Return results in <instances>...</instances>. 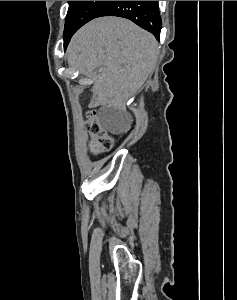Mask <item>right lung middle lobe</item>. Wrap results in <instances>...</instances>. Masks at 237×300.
Masks as SVG:
<instances>
[{
    "instance_id": "1",
    "label": "right lung middle lobe",
    "mask_w": 237,
    "mask_h": 300,
    "mask_svg": "<svg viewBox=\"0 0 237 300\" xmlns=\"http://www.w3.org/2000/svg\"><path fill=\"white\" fill-rule=\"evenodd\" d=\"M69 9L65 20L64 45L85 23L96 18L111 1H68Z\"/></svg>"
}]
</instances>
